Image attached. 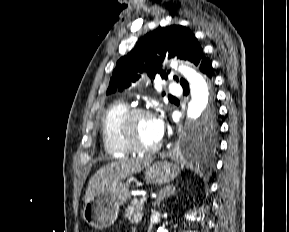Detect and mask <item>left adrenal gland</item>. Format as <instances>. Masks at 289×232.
I'll return each instance as SVG.
<instances>
[{
  "label": "left adrenal gland",
  "instance_id": "left-adrenal-gland-1",
  "mask_svg": "<svg viewBox=\"0 0 289 232\" xmlns=\"http://www.w3.org/2000/svg\"><path fill=\"white\" fill-rule=\"evenodd\" d=\"M175 190H176V188L173 185H169V186H166L163 189H161L159 191L158 198L156 199L154 205L160 204V202L162 200H164L165 198H168L171 195H173L175 193Z\"/></svg>",
  "mask_w": 289,
  "mask_h": 232
}]
</instances>
